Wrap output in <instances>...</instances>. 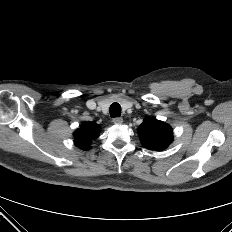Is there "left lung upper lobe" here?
I'll list each match as a JSON object with an SVG mask.
<instances>
[{
	"instance_id": "5c2ea615",
	"label": "left lung upper lobe",
	"mask_w": 232,
	"mask_h": 232,
	"mask_svg": "<svg viewBox=\"0 0 232 232\" xmlns=\"http://www.w3.org/2000/svg\"><path fill=\"white\" fill-rule=\"evenodd\" d=\"M142 145L149 150L165 149L173 140L171 127L165 122L146 118L138 128Z\"/></svg>"
}]
</instances>
